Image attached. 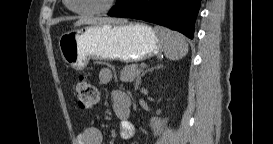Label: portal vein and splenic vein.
<instances>
[{"label":"portal vein and splenic vein","mask_w":273,"mask_h":144,"mask_svg":"<svg viewBox=\"0 0 273 144\" xmlns=\"http://www.w3.org/2000/svg\"><path fill=\"white\" fill-rule=\"evenodd\" d=\"M140 67H141V68H145V67H146V64H145V63H142V64L140 65Z\"/></svg>","instance_id":"1"}]
</instances>
